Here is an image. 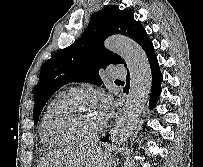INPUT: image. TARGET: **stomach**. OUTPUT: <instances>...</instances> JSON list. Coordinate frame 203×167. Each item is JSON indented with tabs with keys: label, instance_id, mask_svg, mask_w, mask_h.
<instances>
[{
	"label": "stomach",
	"instance_id": "stomach-1",
	"mask_svg": "<svg viewBox=\"0 0 203 167\" xmlns=\"http://www.w3.org/2000/svg\"><path fill=\"white\" fill-rule=\"evenodd\" d=\"M112 157L101 148H94L83 167H115Z\"/></svg>",
	"mask_w": 203,
	"mask_h": 167
}]
</instances>
